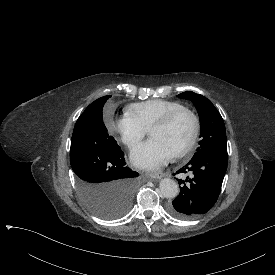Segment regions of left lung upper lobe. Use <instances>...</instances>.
<instances>
[{
	"label": "left lung upper lobe",
	"instance_id": "1",
	"mask_svg": "<svg viewBox=\"0 0 275 275\" xmlns=\"http://www.w3.org/2000/svg\"><path fill=\"white\" fill-rule=\"evenodd\" d=\"M182 99L191 100L200 117V147L193 158L215 151L227 152L226 131L223 119L214 105L204 96L191 91L178 95Z\"/></svg>",
	"mask_w": 275,
	"mask_h": 275
}]
</instances>
